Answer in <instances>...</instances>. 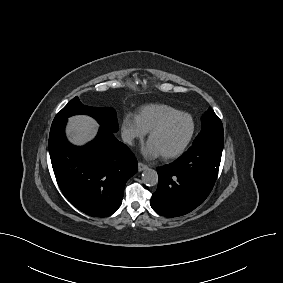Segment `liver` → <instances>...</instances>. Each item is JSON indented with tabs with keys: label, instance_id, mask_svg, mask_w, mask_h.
I'll return each mask as SVG.
<instances>
[{
	"label": "liver",
	"instance_id": "6515ba94",
	"mask_svg": "<svg viewBox=\"0 0 283 283\" xmlns=\"http://www.w3.org/2000/svg\"><path fill=\"white\" fill-rule=\"evenodd\" d=\"M97 129L98 124L93 118L77 115L69 119L67 135L73 144L82 145L95 137Z\"/></svg>",
	"mask_w": 283,
	"mask_h": 283
}]
</instances>
